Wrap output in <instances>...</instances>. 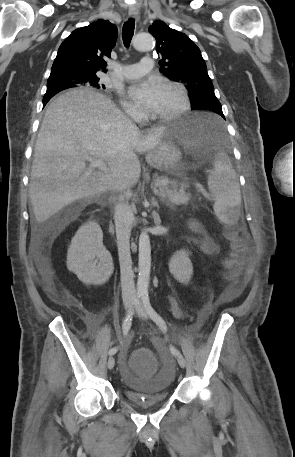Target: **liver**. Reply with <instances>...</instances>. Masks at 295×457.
<instances>
[{"instance_id":"liver-1","label":"liver","mask_w":295,"mask_h":457,"mask_svg":"<svg viewBox=\"0 0 295 457\" xmlns=\"http://www.w3.org/2000/svg\"><path fill=\"white\" fill-rule=\"evenodd\" d=\"M166 126L142 135L105 95L88 88L69 90L48 106L38 134L29 197L38 222L67 205L109 190H125L140 177L136 152L156 147ZM85 156L103 160L93 171Z\"/></svg>"}]
</instances>
